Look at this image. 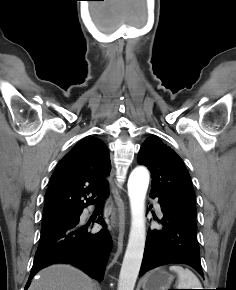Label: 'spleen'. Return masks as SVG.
<instances>
[{
    "label": "spleen",
    "instance_id": "1",
    "mask_svg": "<svg viewBox=\"0 0 236 290\" xmlns=\"http://www.w3.org/2000/svg\"><path fill=\"white\" fill-rule=\"evenodd\" d=\"M169 269L178 275L177 289H202L199 279L189 269H184L180 265H171Z\"/></svg>",
    "mask_w": 236,
    "mask_h": 290
}]
</instances>
